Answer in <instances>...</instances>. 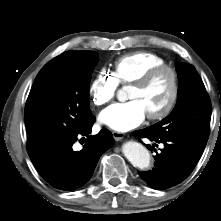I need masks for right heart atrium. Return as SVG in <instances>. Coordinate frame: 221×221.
Listing matches in <instances>:
<instances>
[{
	"instance_id": "d8ad5b80",
	"label": "right heart atrium",
	"mask_w": 221,
	"mask_h": 221,
	"mask_svg": "<svg viewBox=\"0 0 221 221\" xmlns=\"http://www.w3.org/2000/svg\"><path fill=\"white\" fill-rule=\"evenodd\" d=\"M118 89V83L112 74L102 70L91 81L89 85V95L91 101L96 106H103L110 103Z\"/></svg>"
}]
</instances>
